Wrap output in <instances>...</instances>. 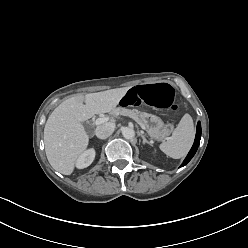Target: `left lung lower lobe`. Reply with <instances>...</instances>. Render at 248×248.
Instances as JSON below:
<instances>
[{
  "label": "left lung lower lobe",
  "mask_w": 248,
  "mask_h": 248,
  "mask_svg": "<svg viewBox=\"0 0 248 248\" xmlns=\"http://www.w3.org/2000/svg\"><path fill=\"white\" fill-rule=\"evenodd\" d=\"M200 138H201V124H200V122H198L197 132H196V137H195L194 144H193L191 150L189 151L187 157L183 161L181 167L185 166L193 158V156L195 155V153H196V151L198 149V146L200 144Z\"/></svg>",
  "instance_id": "obj_1"
}]
</instances>
